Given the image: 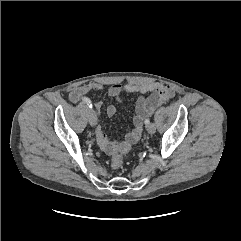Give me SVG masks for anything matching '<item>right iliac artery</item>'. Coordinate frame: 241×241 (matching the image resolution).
<instances>
[{"instance_id": "1", "label": "right iliac artery", "mask_w": 241, "mask_h": 241, "mask_svg": "<svg viewBox=\"0 0 241 241\" xmlns=\"http://www.w3.org/2000/svg\"><path fill=\"white\" fill-rule=\"evenodd\" d=\"M83 102H84L85 104H87L89 108H92V107H93L90 99L84 98V99H83Z\"/></svg>"}]
</instances>
